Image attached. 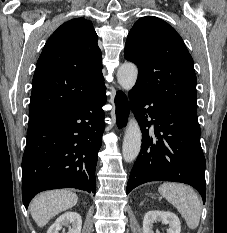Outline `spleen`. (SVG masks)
<instances>
[{"instance_id":"obj_1","label":"spleen","mask_w":227,"mask_h":233,"mask_svg":"<svg viewBox=\"0 0 227 233\" xmlns=\"http://www.w3.org/2000/svg\"><path fill=\"white\" fill-rule=\"evenodd\" d=\"M161 196L177 208L188 228L196 229L200 222V200L194 190L184 184L166 182L158 188Z\"/></svg>"}]
</instances>
